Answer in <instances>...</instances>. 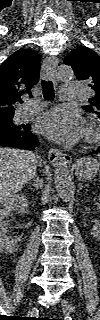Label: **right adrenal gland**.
<instances>
[{"label": "right adrenal gland", "instance_id": "right-adrenal-gland-1", "mask_svg": "<svg viewBox=\"0 0 100 320\" xmlns=\"http://www.w3.org/2000/svg\"><path fill=\"white\" fill-rule=\"evenodd\" d=\"M28 184H32V186L36 190H39L42 188V181L39 179V177H36V176L33 177V182L30 180Z\"/></svg>", "mask_w": 100, "mask_h": 320}]
</instances>
